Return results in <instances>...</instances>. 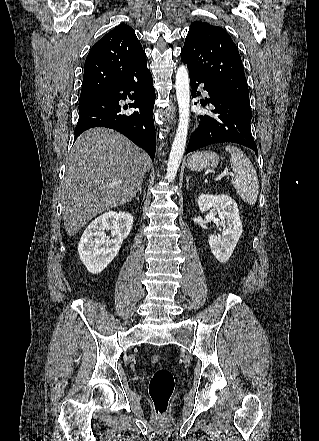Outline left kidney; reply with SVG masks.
I'll return each instance as SVG.
<instances>
[{"mask_svg": "<svg viewBox=\"0 0 319 441\" xmlns=\"http://www.w3.org/2000/svg\"><path fill=\"white\" fill-rule=\"evenodd\" d=\"M198 206L201 212L211 208L218 212V224L221 226L222 235L211 234L208 242L215 258L225 263L233 254L243 232L238 206L234 199L224 194L216 196L201 194L198 197Z\"/></svg>", "mask_w": 319, "mask_h": 441, "instance_id": "5707ae66", "label": "left kidney"}]
</instances>
